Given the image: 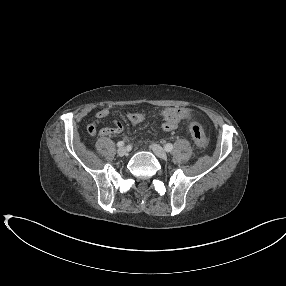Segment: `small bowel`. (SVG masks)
Masks as SVG:
<instances>
[{
    "label": "small bowel",
    "mask_w": 286,
    "mask_h": 286,
    "mask_svg": "<svg viewBox=\"0 0 286 286\" xmlns=\"http://www.w3.org/2000/svg\"><path fill=\"white\" fill-rule=\"evenodd\" d=\"M110 114L108 108H102L97 111L95 117L97 121L90 123L87 126V132L93 136L97 132L98 123L105 120ZM163 119L161 127L164 131L170 132L175 130L182 120L191 119L194 117V113L189 108L181 107H168L160 112ZM146 115L139 112H131L127 114V119L132 124H139L145 119ZM123 132V125L114 121L111 126L103 127L99 130L100 136L118 135Z\"/></svg>",
    "instance_id": "c3829d8e"
}]
</instances>
